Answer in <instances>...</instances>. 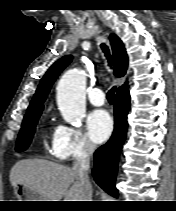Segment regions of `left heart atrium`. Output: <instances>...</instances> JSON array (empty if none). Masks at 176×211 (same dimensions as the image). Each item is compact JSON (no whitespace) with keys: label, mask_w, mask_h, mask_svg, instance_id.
Returning a JSON list of instances; mask_svg holds the SVG:
<instances>
[{"label":"left heart atrium","mask_w":176,"mask_h":211,"mask_svg":"<svg viewBox=\"0 0 176 211\" xmlns=\"http://www.w3.org/2000/svg\"><path fill=\"white\" fill-rule=\"evenodd\" d=\"M89 136L95 143L104 142L111 134L113 122L105 110H95L86 120Z\"/></svg>","instance_id":"obj_1"}]
</instances>
